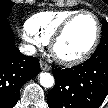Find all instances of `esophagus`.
I'll use <instances>...</instances> for the list:
<instances>
[{
	"label": "esophagus",
	"mask_w": 108,
	"mask_h": 108,
	"mask_svg": "<svg viewBox=\"0 0 108 108\" xmlns=\"http://www.w3.org/2000/svg\"><path fill=\"white\" fill-rule=\"evenodd\" d=\"M40 67L43 71H50L51 70V66L48 65L47 63L41 61L40 62Z\"/></svg>",
	"instance_id": "obj_1"
}]
</instances>
